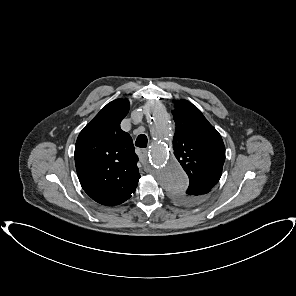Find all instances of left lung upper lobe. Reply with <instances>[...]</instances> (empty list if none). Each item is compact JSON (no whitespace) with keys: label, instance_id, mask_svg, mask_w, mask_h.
<instances>
[{"label":"left lung upper lobe","instance_id":"left-lung-upper-lobe-1","mask_svg":"<svg viewBox=\"0 0 296 296\" xmlns=\"http://www.w3.org/2000/svg\"><path fill=\"white\" fill-rule=\"evenodd\" d=\"M176 124L173 137L174 155L189 177L187 190L172 191V198L193 205L207 198L219 181L225 160L221 135L200 110L180 100L172 111Z\"/></svg>","mask_w":296,"mask_h":296}]
</instances>
